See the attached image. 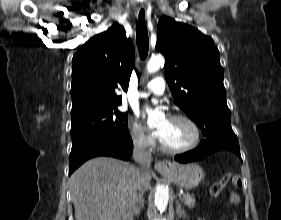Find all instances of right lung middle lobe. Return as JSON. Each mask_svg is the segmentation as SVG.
<instances>
[{"label":"right lung middle lobe","instance_id":"1","mask_svg":"<svg viewBox=\"0 0 281 220\" xmlns=\"http://www.w3.org/2000/svg\"><path fill=\"white\" fill-rule=\"evenodd\" d=\"M128 113H122L117 108L86 114L72 118V144L89 139H119L130 137L128 131Z\"/></svg>","mask_w":281,"mask_h":220}]
</instances>
